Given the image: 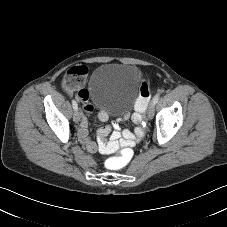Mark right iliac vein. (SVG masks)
Listing matches in <instances>:
<instances>
[{"label":"right iliac vein","instance_id":"right-iliac-vein-1","mask_svg":"<svg viewBox=\"0 0 227 227\" xmlns=\"http://www.w3.org/2000/svg\"><path fill=\"white\" fill-rule=\"evenodd\" d=\"M80 119H81V113H80V111H75L74 112V115H73V121L75 123H78L80 121Z\"/></svg>","mask_w":227,"mask_h":227}]
</instances>
